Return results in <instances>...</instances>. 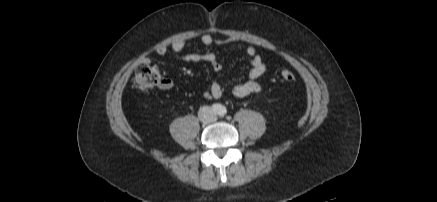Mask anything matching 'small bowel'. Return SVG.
Returning <instances> with one entry per match:
<instances>
[{
	"instance_id": "1",
	"label": "small bowel",
	"mask_w": 437,
	"mask_h": 202,
	"mask_svg": "<svg viewBox=\"0 0 437 202\" xmlns=\"http://www.w3.org/2000/svg\"><path fill=\"white\" fill-rule=\"evenodd\" d=\"M200 40L205 46L216 44L220 47H226L230 44L239 42V38L235 36L219 37L212 34H204L200 37ZM187 42V39H178L174 41L170 47H167L165 45L157 46L155 52L161 56L170 55L173 58L182 62L205 61L211 64L215 72H221L223 68L222 62L219 57L214 53L204 52L182 54L183 49L187 45ZM244 50L246 54L250 57V70L248 72L247 80L239 82L231 88V94L237 98H243L249 94L259 92L261 87L258 83V80L264 75L266 71V65L262 57L258 54L254 45H246L244 47ZM171 86L172 81L165 78L161 88L168 89ZM224 92V87L219 83L217 79H214L212 81L210 89L204 93V97L206 99H217L222 97Z\"/></svg>"
}]
</instances>
